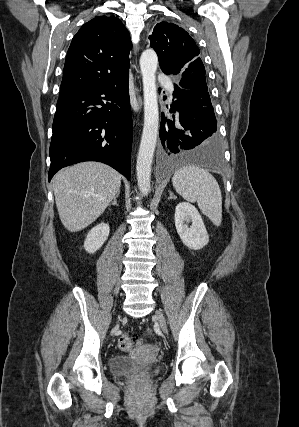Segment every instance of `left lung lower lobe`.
Here are the masks:
<instances>
[{
	"instance_id": "left-lung-lower-lobe-1",
	"label": "left lung lower lobe",
	"mask_w": 299,
	"mask_h": 427,
	"mask_svg": "<svg viewBox=\"0 0 299 427\" xmlns=\"http://www.w3.org/2000/svg\"><path fill=\"white\" fill-rule=\"evenodd\" d=\"M162 114L160 139L164 161L193 162L207 168L222 164L221 144L211 100L175 84L173 102Z\"/></svg>"
}]
</instances>
